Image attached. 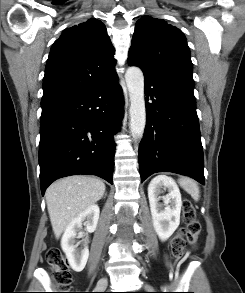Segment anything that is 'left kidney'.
<instances>
[{"instance_id":"5707ae66","label":"left kidney","mask_w":245,"mask_h":293,"mask_svg":"<svg viewBox=\"0 0 245 293\" xmlns=\"http://www.w3.org/2000/svg\"><path fill=\"white\" fill-rule=\"evenodd\" d=\"M167 188L169 193L163 196L164 204H160L162 188ZM148 198L154 229L158 237L165 241L180 224L181 194L177 184L167 176H156L148 186Z\"/></svg>"}]
</instances>
